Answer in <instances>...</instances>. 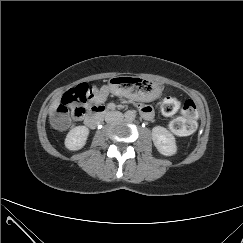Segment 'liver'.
<instances>
[{"label": "liver", "instance_id": "liver-1", "mask_svg": "<svg viewBox=\"0 0 243 243\" xmlns=\"http://www.w3.org/2000/svg\"><path fill=\"white\" fill-rule=\"evenodd\" d=\"M60 104V98H57L54 100V102L51 104L50 106V112H49V116L52 117L57 109V107Z\"/></svg>", "mask_w": 243, "mask_h": 243}]
</instances>
